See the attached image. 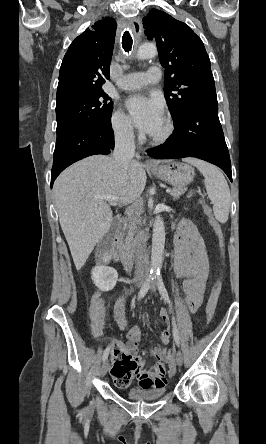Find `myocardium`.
<instances>
[{"mask_svg":"<svg viewBox=\"0 0 266 444\" xmlns=\"http://www.w3.org/2000/svg\"><path fill=\"white\" fill-rule=\"evenodd\" d=\"M173 133V125L170 121H166L164 124V129L159 135H152L151 141L153 144L160 145L165 143Z\"/></svg>","mask_w":266,"mask_h":444,"instance_id":"obj_1","label":"myocardium"}]
</instances>
